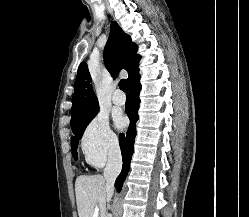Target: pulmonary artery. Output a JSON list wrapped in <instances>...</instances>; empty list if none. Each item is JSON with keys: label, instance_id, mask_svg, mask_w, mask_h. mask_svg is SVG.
I'll return each instance as SVG.
<instances>
[{"label": "pulmonary artery", "instance_id": "obj_1", "mask_svg": "<svg viewBox=\"0 0 249 217\" xmlns=\"http://www.w3.org/2000/svg\"><path fill=\"white\" fill-rule=\"evenodd\" d=\"M113 103L122 106L125 104L126 98L124 94L121 91H116L112 97Z\"/></svg>", "mask_w": 249, "mask_h": 217}]
</instances>
